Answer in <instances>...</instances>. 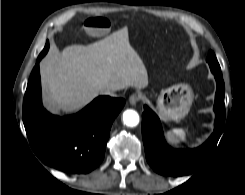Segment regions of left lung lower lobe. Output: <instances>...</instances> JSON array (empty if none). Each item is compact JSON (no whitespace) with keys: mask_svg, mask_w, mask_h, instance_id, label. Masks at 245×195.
Here are the masks:
<instances>
[{"mask_svg":"<svg viewBox=\"0 0 245 195\" xmlns=\"http://www.w3.org/2000/svg\"><path fill=\"white\" fill-rule=\"evenodd\" d=\"M217 83L214 111L215 129L210 138L195 149H173L163 136L158 116L147 106L142 114V136L146 159L158 174L183 176L196 170L199 163L214 149L225 122V86L221 73H213Z\"/></svg>","mask_w":245,"mask_h":195,"instance_id":"left-lung-lower-lobe-1","label":"left lung lower lobe"}]
</instances>
